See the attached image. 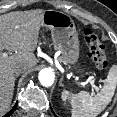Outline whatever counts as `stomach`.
I'll list each match as a JSON object with an SVG mask.
<instances>
[{
    "label": "stomach",
    "mask_w": 117,
    "mask_h": 117,
    "mask_svg": "<svg viewBox=\"0 0 117 117\" xmlns=\"http://www.w3.org/2000/svg\"><path fill=\"white\" fill-rule=\"evenodd\" d=\"M43 24L51 30L54 48L61 60L75 65L79 59L80 45L74 21L69 16L48 14Z\"/></svg>",
    "instance_id": "obj_1"
}]
</instances>
